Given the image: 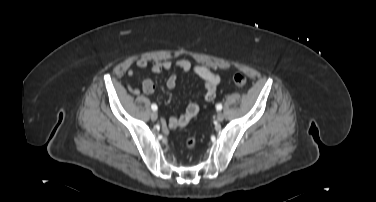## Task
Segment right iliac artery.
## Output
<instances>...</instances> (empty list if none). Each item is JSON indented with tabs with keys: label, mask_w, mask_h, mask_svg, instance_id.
<instances>
[{
	"label": "right iliac artery",
	"mask_w": 376,
	"mask_h": 202,
	"mask_svg": "<svg viewBox=\"0 0 376 202\" xmlns=\"http://www.w3.org/2000/svg\"><path fill=\"white\" fill-rule=\"evenodd\" d=\"M151 108H152L153 111H156V110L158 109V107H157L156 104H152V105H151Z\"/></svg>",
	"instance_id": "82829eb1"
}]
</instances>
